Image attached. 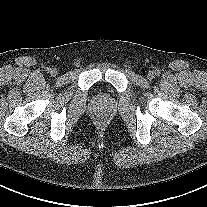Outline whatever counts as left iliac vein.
I'll return each mask as SVG.
<instances>
[{"label":"left iliac vein","mask_w":207,"mask_h":207,"mask_svg":"<svg viewBox=\"0 0 207 207\" xmlns=\"http://www.w3.org/2000/svg\"><path fill=\"white\" fill-rule=\"evenodd\" d=\"M154 77H155V73H154L153 71L148 72V74H147V78H148L149 80H152Z\"/></svg>","instance_id":"1"}]
</instances>
